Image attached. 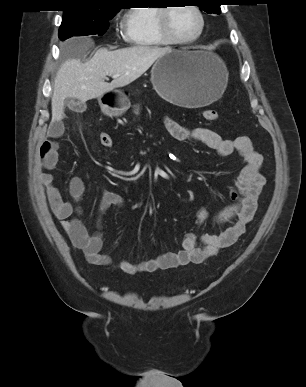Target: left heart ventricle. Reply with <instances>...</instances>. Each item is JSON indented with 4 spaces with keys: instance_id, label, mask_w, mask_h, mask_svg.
Returning <instances> with one entry per match:
<instances>
[{
    "instance_id": "obj_1",
    "label": "left heart ventricle",
    "mask_w": 306,
    "mask_h": 387,
    "mask_svg": "<svg viewBox=\"0 0 306 387\" xmlns=\"http://www.w3.org/2000/svg\"><path fill=\"white\" fill-rule=\"evenodd\" d=\"M170 26L176 37L188 39L198 32L200 21L196 12L190 7H175L170 15Z\"/></svg>"
}]
</instances>
